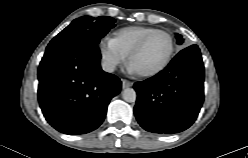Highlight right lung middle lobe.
I'll return each instance as SVG.
<instances>
[{
  "label": "right lung middle lobe",
  "instance_id": "dd1d6c3e",
  "mask_svg": "<svg viewBox=\"0 0 248 158\" xmlns=\"http://www.w3.org/2000/svg\"><path fill=\"white\" fill-rule=\"evenodd\" d=\"M112 17L100 16L96 20L92 17H80L61 31L53 40L89 41L98 44L110 28L115 25Z\"/></svg>",
  "mask_w": 248,
  "mask_h": 158
}]
</instances>
